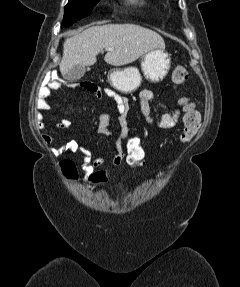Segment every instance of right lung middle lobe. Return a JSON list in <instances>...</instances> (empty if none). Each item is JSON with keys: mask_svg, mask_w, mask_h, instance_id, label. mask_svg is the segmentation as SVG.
<instances>
[{"mask_svg": "<svg viewBox=\"0 0 240 287\" xmlns=\"http://www.w3.org/2000/svg\"><path fill=\"white\" fill-rule=\"evenodd\" d=\"M100 0H69L65 6L62 27H68L77 20L89 15Z\"/></svg>", "mask_w": 240, "mask_h": 287, "instance_id": "obj_1", "label": "right lung middle lobe"}]
</instances>
